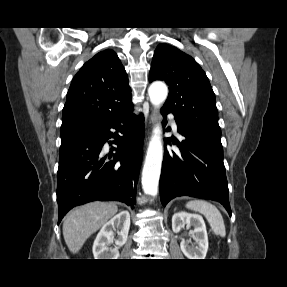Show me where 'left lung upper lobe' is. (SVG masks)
Wrapping results in <instances>:
<instances>
[{
	"mask_svg": "<svg viewBox=\"0 0 287 287\" xmlns=\"http://www.w3.org/2000/svg\"><path fill=\"white\" fill-rule=\"evenodd\" d=\"M165 80L169 95L163 106L176 121L192 132L222 146L215 95L199 64L168 44H160L153 56L149 81Z\"/></svg>",
	"mask_w": 287,
	"mask_h": 287,
	"instance_id": "5c2ea615",
	"label": "left lung upper lobe"
}]
</instances>
